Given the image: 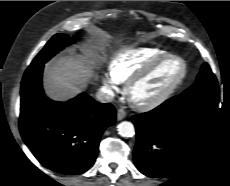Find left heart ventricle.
I'll list each match as a JSON object with an SVG mask.
<instances>
[{
  "label": "left heart ventricle",
  "mask_w": 230,
  "mask_h": 186,
  "mask_svg": "<svg viewBox=\"0 0 230 186\" xmlns=\"http://www.w3.org/2000/svg\"><path fill=\"white\" fill-rule=\"evenodd\" d=\"M178 61L170 59L161 64L150 76L138 83L132 92L136 100H148L159 94L180 72Z\"/></svg>",
  "instance_id": "1"
}]
</instances>
